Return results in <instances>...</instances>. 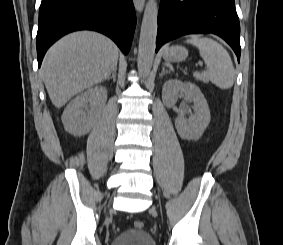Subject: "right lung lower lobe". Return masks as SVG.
Wrapping results in <instances>:
<instances>
[{"label": "right lung lower lobe", "mask_w": 283, "mask_h": 245, "mask_svg": "<svg viewBox=\"0 0 283 245\" xmlns=\"http://www.w3.org/2000/svg\"><path fill=\"white\" fill-rule=\"evenodd\" d=\"M135 24L132 0H42L36 40L38 66L55 41L77 30L103 33L127 54Z\"/></svg>", "instance_id": "right-lung-lower-lobe-1"}]
</instances>
